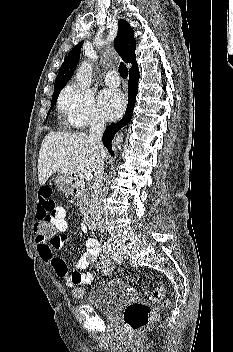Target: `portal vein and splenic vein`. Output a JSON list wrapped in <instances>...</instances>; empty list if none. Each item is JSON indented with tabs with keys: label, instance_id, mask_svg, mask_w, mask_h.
Returning a JSON list of instances; mask_svg holds the SVG:
<instances>
[{
	"label": "portal vein and splenic vein",
	"instance_id": "portal-vein-and-splenic-vein-1",
	"mask_svg": "<svg viewBox=\"0 0 233 352\" xmlns=\"http://www.w3.org/2000/svg\"><path fill=\"white\" fill-rule=\"evenodd\" d=\"M84 179L86 181H90L92 179V174L90 172H87L84 174Z\"/></svg>",
	"mask_w": 233,
	"mask_h": 352
}]
</instances>
